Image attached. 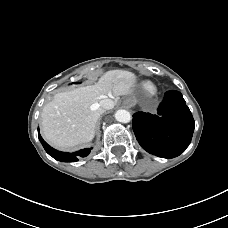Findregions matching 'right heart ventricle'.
Returning <instances> with one entry per match:
<instances>
[{"instance_id":"e07e8e85","label":"right heart ventricle","mask_w":228,"mask_h":228,"mask_svg":"<svg viewBox=\"0 0 228 228\" xmlns=\"http://www.w3.org/2000/svg\"><path fill=\"white\" fill-rule=\"evenodd\" d=\"M142 87H143V90L149 94L155 91V86L150 82H145Z\"/></svg>"}]
</instances>
